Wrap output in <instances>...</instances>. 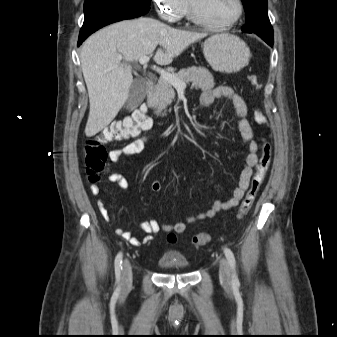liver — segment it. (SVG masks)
Returning <instances> with one entry per match:
<instances>
[{
	"mask_svg": "<svg viewBox=\"0 0 337 337\" xmlns=\"http://www.w3.org/2000/svg\"><path fill=\"white\" fill-rule=\"evenodd\" d=\"M204 36L144 17L114 23L91 35L80 54L90 102L86 136L106 128L127 101L133 83L128 62L152 54L160 45L153 59L159 65H168Z\"/></svg>",
	"mask_w": 337,
	"mask_h": 337,
	"instance_id": "6515ba94",
	"label": "liver"
}]
</instances>
